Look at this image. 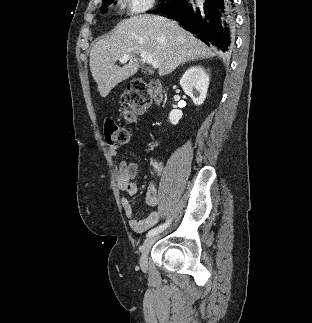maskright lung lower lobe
Returning a JSON list of instances; mask_svg holds the SVG:
<instances>
[{
    "label": "right lung lower lobe",
    "mask_w": 312,
    "mask_h": 323,
    "mask_svg": "<svg viewBox=\"0 0 312 323\" xmlns=\"http://www.w3.org/2000/svg\"><path fill=\"white\" fill-rule=\"evenodd\" d=\"M234 8V0H180L172 8L161 9L156 13L178 21L206 45L229 53L234 45Z\"/></svg>",
    "instance_id": "98d812e1"
}]
</instances>
